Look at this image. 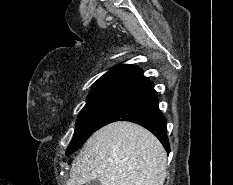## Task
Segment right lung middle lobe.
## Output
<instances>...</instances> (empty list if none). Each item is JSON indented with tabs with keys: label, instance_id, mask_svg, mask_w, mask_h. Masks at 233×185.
Returning <instances> with one entry per match:
<instances>
[{
	"label": "right lung middle lobe",
	"instance_id": "1",
	"mask_svg": "<svg viewBox=\"0 0 233 185\" xmlns=\"http://www.w3.org/2000/svg\"><path fill=\"white\" fill-rule=\"evenodd\" d=\"M128 90L110 89L91 92L81 110L73 140L66 155L75 152L98 129L104 117L129 93Z\"/></svg>",
	"mask_w": 233,
	"mask_h": 185
}]
</instances>
